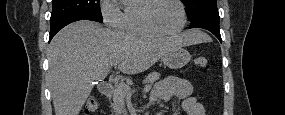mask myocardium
Wrapping results in <instances>:
<instances>
[{
	"label": "myocardium",
	"instance_id": "f54148a6",
	"mask_svg": "<svg viewBox=\"0 0 285 115\" xmlns=\"http://www.w3.org/2000/svg\"><path fill=\"white\" fill-rule=\"evenodd\" d=\"M160 1H164V0H148L146 4L143 6L142 19H143V22L146 28L157 36L168 37V36L178 35L184 30L186 23H187V13H186L183 2L180 0H170L174 2L175 4H177L180 9L181 23H180V26L175 31L165 32L157 28L152 22L151 17H150L151 11L153 10L154 6Z\"/></svg>",
	"mask_w": 285,
	"mask_h": 115
}]
</instances>
